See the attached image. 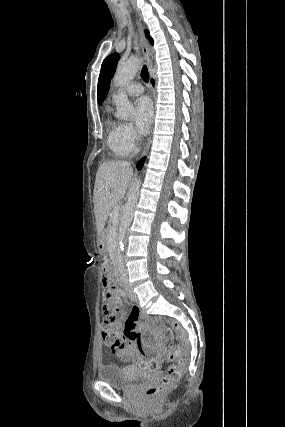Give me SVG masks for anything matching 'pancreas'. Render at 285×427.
<instances>
[{"label":"pancreas","mask_w":285,"mask_h":427,"mask_svg":"<svg viewBox=\"0 0 285 427\" xmlns=\"http://www.w3.org/2000/svg\"><path fill=\"white\" fill-rule=\"evenodd\" d=\"M115 230H116V222L113 219V215L111 213V216H110V225H109V228H108V234H109L110 237L114 234Z\"/></svg>","instance_id":"cf45deb5"}]
</instances>
